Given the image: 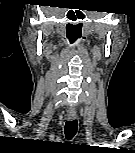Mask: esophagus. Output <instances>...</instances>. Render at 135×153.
Masks as SVG:
<instances>
[{"label":"esophagus","mask_w":135,"mask_h":153,"mask_svg":"<svg viewBox=\"0 0 135 153\" xmlns=\"http://www.w3.org/2000/svg\"><path fill=\"white\" fill-rule=\"evenodd\" d=\"M76 116H77L76 113H71V112L68 113V115H67V117H68L69 120H74V119H76Z\"/></svg>","instance_id":"obj_1"}]
</instances>
